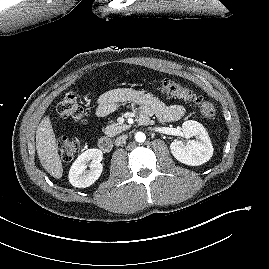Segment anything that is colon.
I'll return each mask as SVG.
<instances>
[{"mask_svg": "<svg viewBox=\"0 0 269 269\" xmlns=\"http://www.w3.org/2000/svg\"><path fill=\"white\" fill-rule=\"evenodd\" d=\"M159 88L165 95L191 103L206 118H212L216 114V109L211 102L174 80L161 78ZM57 112L62 118H71L82 122L86 120L85 111L79 102L77 94L72 90L67 91L58 103ZM58 147L62 159L70 161L80 151L81 143L77 139L62 136L58 139Z\"/></svg>", "mask_w": 269, "mask_h": 269, "instance_id": "colon-1", "label": "colon"}]
</instances>
